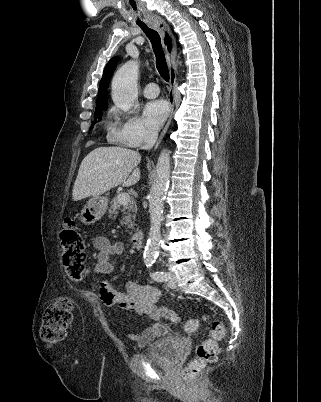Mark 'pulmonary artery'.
<instances>
[{
  "instance_id": "e3ab8cb5",
  "label": "pulmonary artery",
  "mask_w": 321,
  "mask_h": 402,
  "mask_svg": "<svg viewBox=\"0 0 321 402\" xmlns=\"http://www.w3.org/2000/svg\"><path fill=\"white\" fill-rule=\"evenodd\" d=\"M160 90L156 83H148L143 88V94L147 98H155L159 95Z\"/></svg>"
}]
</instances>
